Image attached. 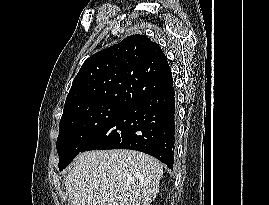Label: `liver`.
<instances>
[{"label":"liver","instance_id":"1","mask_svg":"<svg viewBox=\"0 0 269 205\" xmlns=\"http://www.w3.org/2000/svg\"><path fill=\"white\" fill-rule=\"evenodd\" d=\"M163 176L160 163L134 150L80 154L64 178L72 205H150Z\"/></svg>","mask_w":269,"mask_h":205}]
</instances>
